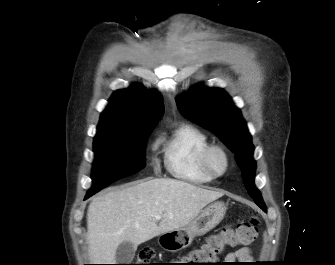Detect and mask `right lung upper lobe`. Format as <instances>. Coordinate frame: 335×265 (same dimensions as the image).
Masks as SVG:
<instances>
[{
	"instance_id": "cb5924a9",
	"label": "right lung upper lobe",
	"mask_w": 335,
	"mask_h": 265,
	"mask_svg": "<svg viewBox=\"0 0 335 265\" xmlns=\"http://www.w3.org/2000/svg\"><path fill=\"white\" fill-rule=\"evenodd\" d=\"M163 109L162 97L154 91L147 92L140 85L118 90L101 114L97 133L154 125Z\"/></svg>"
}]
</instances>
